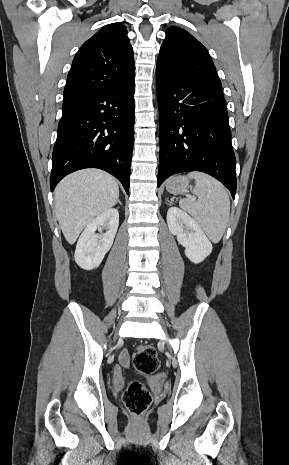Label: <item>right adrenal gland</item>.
<instances>
[{"label": "right adrenal gland", "instance_id": "obj_1", "mask_svg": "<svg viewBox=\"0 0 289 465\" xmlns=\"http://www.w3.org/2000/svg\"><path fill=\"white\" fill-rule=\"evenodd\" d=\"M117 203H119L120 205H122V203H121V201H120L119 199L116 201V204H117Z\"/></svg>", "mask_w": 289, "mask_h": 465}]
</instances>
